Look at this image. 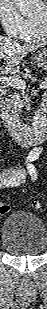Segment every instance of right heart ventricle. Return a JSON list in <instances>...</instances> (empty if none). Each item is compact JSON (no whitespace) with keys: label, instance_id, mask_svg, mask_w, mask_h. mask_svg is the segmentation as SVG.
Segmentation results:
<instances>
[{"label":"right heart ventricle","instance_id":"e07e8e85","mask_svg":"<svg viewBox=\"0 0 47 309\" xmlns=\"http://www.w3.org/2000/svg\"><path fill=\"white\" fill-rule=\"evenodd\" d=\"M42 40V37L37 32L34 24L30 22V32L24 41L26 42H39Z\"/></svg>","mask_w":47,"mask_h":309}]
</instances>
